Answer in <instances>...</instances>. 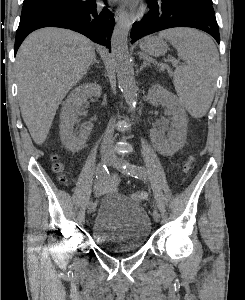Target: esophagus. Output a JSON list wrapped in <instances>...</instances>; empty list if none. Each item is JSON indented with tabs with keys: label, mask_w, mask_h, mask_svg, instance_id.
Wrapping results in <instances>:
<instances>
[{
	"label": "esophagus",
	"mask_w": 245,
	"mask_h": 300,
	"mask_svg": "<svg viewBox=\"0 0 245 300\" xmlns=\"http://www.w3.org/2000/svg\"><path fill=\"white\" fill-rule=\"evenodd\" d=\"M123 15H124V8L120 6L115 11L114 14L115 20L119 21Z\"/></svg>",
	"instance_id": "1"
}]
</instances>
